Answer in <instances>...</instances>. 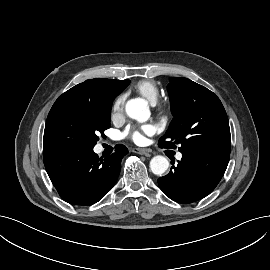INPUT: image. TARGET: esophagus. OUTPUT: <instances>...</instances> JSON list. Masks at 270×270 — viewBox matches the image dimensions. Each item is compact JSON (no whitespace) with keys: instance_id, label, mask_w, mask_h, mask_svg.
I'll return each instance as SVG.
<instances>
[{"instance_id":"1","label":"esophagus","mask_w":270,"mask_h":270,"mask_svg":"<svg viewBox=\"0 0 270 270\" xmlns=\"http://www.w3.org/2000/svg\"><path fill=\"white\" fill-rule=\"evenodd\" d=\"M133 151L137 154L145 155V156H149L151 153V150L147 148H135Z\"/></svg>"}]
</instances>
